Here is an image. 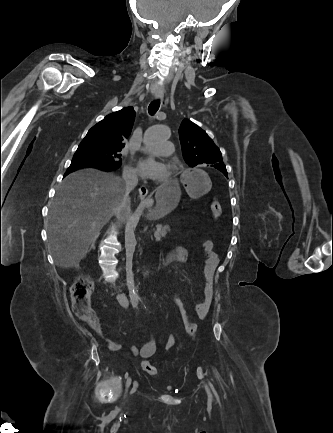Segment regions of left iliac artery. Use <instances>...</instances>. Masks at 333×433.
I'll list each match as a JSON object with an SVG mask.
<instances>
[{"label": "left iliac artery", "instance_id": "1", "mask_svg": "<svg viewBox=\"0 0 333 433\" xmlns=\"http://www.w3.org/2000/svg\"><path fill=\"white\" fill-rule=\"evenodd\" d=\"M137 304H138V303H137V300L134 299V301H133V306H134V307H137ZM198 370H199L200 373H202V369H201L200 367L198 368ZM207 380H208V379H207ZM208 383H209V386L211 387L212 391L215 392V389H214L213 384H212L209 380H208Z\"/></svg>", "mask_w": 333, "mask_h": 433}]
</instances>
